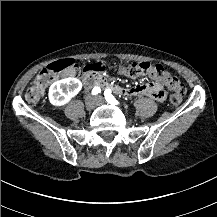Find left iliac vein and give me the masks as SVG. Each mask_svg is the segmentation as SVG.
<instances>
[{"instance_id":"1","label":"left iliac vein","mask_w":217,"mask_h":217,"mask_svg":"<svg viewBox=\"0 0 217 217\" xmlns=\"http://www.w3.org/2000/svg\"><path fill=\"white\" fill-rule=\"evenodd\" d=\"M97 101H98L99 103H102V102H103V100H102L101 98H98Z\"/></svg>"}]
</instances>
